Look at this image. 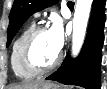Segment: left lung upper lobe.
<instances>
[{
	"instance_id": "left-lung-upper-lobe-1",
	"label": "left lung upper lobe",
	"mask_w": 107,
	"mask_h": 89,
	"mask_svg": "<svg viewBox=\"0 0 107 89\" xmlns=\"http://www.w3.org/2000/svg\"><path fill=\"white\" fill-rule=\"evenodd\" d=\"M54 2H56V0H14V4L9 15L7 47L10 45L13 37L29 16L54 4Z\"/></svg>"
}]
</instances>
